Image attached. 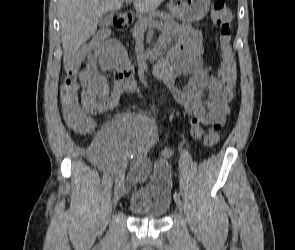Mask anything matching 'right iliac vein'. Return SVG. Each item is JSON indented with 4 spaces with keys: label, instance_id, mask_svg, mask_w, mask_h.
I'll return each instance as SVG.
<instances>
[{
    "label": "right iliac vein",
    "instance_id": "1",
    "mask_svg": "<svg viewBox=\"0 0 295 250\" xmlns=\"http://www.w3.org/2000/svg\"><path fill=\"white\" fill-rule=\"evenodd\" d=\"M124 192H125V184L122 183L115 189L113 201H112L114 206L117 205V203L121 200V198L124 195Z\"/></svg>",
    "mask_w": 295,
    "mask_h": 250
}]
</instances>
